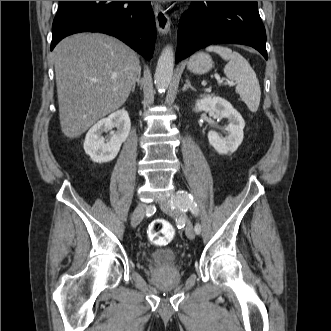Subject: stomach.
<instances>
[{
  "mask_svg": "<svg viewBox=\"0 0 331 331\" xmlns=\"http://www.w3.org/2000/svg\"><path fill=\"white\" fill-rule=\"evenodd\" d=\"M212 66L211 56L203 51L195 53L187 62L188 70L195 74H205L211 70Z\"/></svg>",
  "mask_w": 331,
  "mask_h": 331,
  "instance_id": "obj_1",
  "label": "stomach"
}]
</instances>
